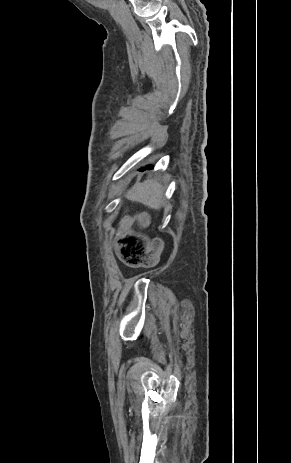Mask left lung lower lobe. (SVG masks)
<instances>
[{"instance_id":"obj_1","label":"left lung lower lobe","mask_w":291,"mask_h":463,"mask_svg":"<svg viewBox=\"0 0 291 463\" xmlns=\"http://www.w3.org/2000/svg\"><path fill=\"white\" fill-rule=\"evenodd\" d=\"M151 167H146V168H142L141 171L145 170V169H150Z\"/></svg>"}]
</instances>
